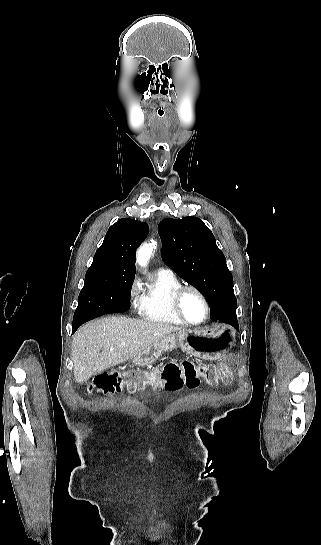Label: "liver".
I'll use <instances>...</instances> for the list:
<instances>
[{
    "mask_svg": "<svg viewBox=\"0 0 321 545\" xmlns=\"http://www.w3.org/2000/svg\"><path fill=\"white\" fill-rule=\"evenodd\" d=\"M176 331H182L181 327L127 317H104L86 323L73 337L74 377L77 383H85L92 375L134 359Z\"/></svg>",
    "mask_w": 321,
    "mask_h": 545,
    "instance_id": "6515ba94",
    "label": "liver"
}]
</instances>
